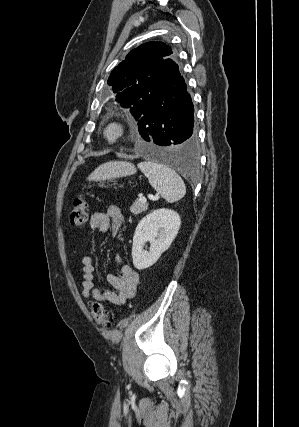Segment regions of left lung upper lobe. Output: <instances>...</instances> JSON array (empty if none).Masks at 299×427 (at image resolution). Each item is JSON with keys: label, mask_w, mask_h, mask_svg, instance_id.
I'll use <instances>...</instances> for the list:
<instances>
[{"label": "left lung upper lobe", "mask_w": 299, "mask_h": 427, "mask_svg": "<svg viewBox=\"0 0 299 427\" xmlns=\"http://www.w3.org/2000/svg\"><path fill=\"white\" fill-rule=\"evenodd\" d=\"M172 49L163 42H148L133 49L110 74L108 85L116 101L138 121L141 109L159 101L180 79Z\"/></svg>", "instance_id": "5c2ea615"}]
</instances>
